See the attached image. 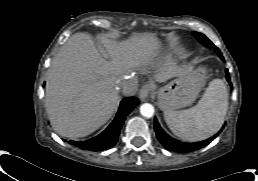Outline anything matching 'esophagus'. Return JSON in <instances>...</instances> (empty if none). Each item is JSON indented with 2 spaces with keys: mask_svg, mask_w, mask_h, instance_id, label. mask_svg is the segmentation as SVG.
Instances as JSON below:
<instances>
[{
  "mask_svg": "<svg viewBox=\"0 0 258 181\" xmlns=\"http://www.w3.org/2000/svg\"><path fill=\"white\" fill-rule=\"evenodd\" d=\"M151 91H152L151 84L147 83V84L143 85L142 88L140 89V92H139L140 100L141 101L147 100V98L149 97Z\"/></svg>",
  "mask_w": 258,
  "mask_h": 181,
  "instance_id": "1",
  "label": "esophagus"
}]
</instances>
